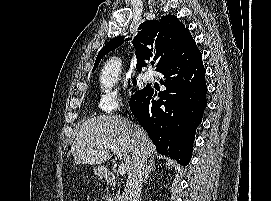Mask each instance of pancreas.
Instances as JSON below:
<instances>
[{
  "label": "pancreas",
  "instance_id": "cf45deb5",
  "mask_svg": "<svg viewBox=\"0 0 271 201\" xmlns=\"http://www.w3.org/2000/svg\"><path fill=\"white\" fill-rule=\"evenodd\" d=\"M106 201H121L120 192L118 191L115 196H107Z\"/></svg>",
  "mask_w": 271,
  "mask_h": 201
}]
</instances>
